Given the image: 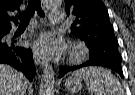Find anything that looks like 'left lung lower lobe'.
Wrapping results in <instances>:
<instances>
[{
	"mask_svg": "<svg viewBox=\"0 0 135 95\" xmlns=\"http://www.w3.org/2000/svg\"><path fill=\"white\" fill-rule=\"evenodd\" d=\"M90 58L87 62H85L82 65L78 66H60L59 67V77H63L67 72L77 70L81 67L86 66H104L108 67L117 73L120 74L121 77H123V72L121 68V55L118 52V49L115 47H110L103 52L90 51Z\"/></svg>",
	"mask_w": 135,
	"mask_h": 95,
	"instance_id": "1",
	"label": "left lung lower lobe"
}]
</instances>
